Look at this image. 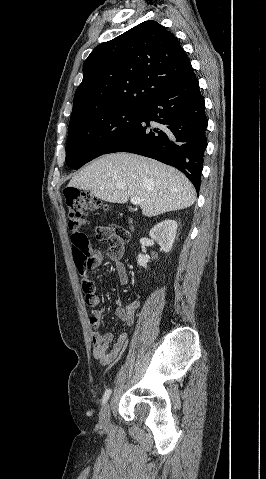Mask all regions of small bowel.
I'll use <instances>...</instances> for the list:
<instances>
[{"label":"small bowel","instance_id":"obj_1","mask_svg":"<svg viewBox=\"0 0 266 479\" xmlns=\"http://www.w3.org/2000/svg\"><path fill=\"white\" fill-rule=\"evenodd\" d=\"M119 245V244H116ZM113 244H109V251L107 258L114 262V267L118 281L121 285H126L128 283V274L125 265L119 261L120 257L112 258L110 255V250ZM106 256L102 252H95L91 258V264L93 267H98L104 263ZM117 308L115 309V316L123 321L127 326H132L135 322L136 312L140 307L139 300H133L127 306H123L121 300L118 298L116 300ZM98 305V301L96 303ZM104 315V308L102 306H96L91 313L89 318V326L91 330L92 337V354L93 357L101 364L107 365L112 363L120 354L124 348L127 340L128 333H121L115 343L110 347V344L113 340V335L111 332H100L101 321Z\"/></svg>","mask_w":266,"mask_h":479}]
</instances>
